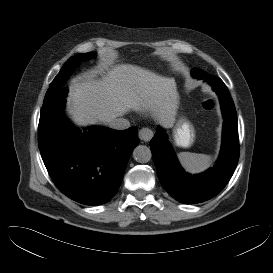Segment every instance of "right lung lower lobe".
Wrapping results in <instances>:
<instances>
[{"label":"right lung lower lobe","mask_w":273,"mask_h":273,"mask_svg":"<svg viewBox=\"0 0 273 273\" xmlns=\"http://www.w3.org/2000/svg\"><path fill=\"white\" fill-rule=\"evenodd\" d=\"M64 87L43 103L38 145L43 162L57 188L85 205L107 203L117 192L132 150L138 145L137 128L113 130L72 126L63 108Z\"/></svg>","instance_id":"obj_1"}]
</instances>
